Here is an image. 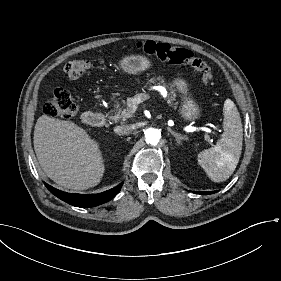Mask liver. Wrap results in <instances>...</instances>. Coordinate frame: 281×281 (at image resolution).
I'll use <instances>...</instances> for the list:
<instances>
[{"label":"liver","mask_w":281,"mask_h":281,"mask_svg":"<svg viewBox=\"0 0 281 281\" xmlns=\"http://www.w3.org/2000/svg\"><path fill=\"white\" fill-rule=\"evenodd\" d=\"M33 145L39 165L56 184L87 190L102 182L106 164L101 145L77 123L42 115Z\"/></svg>","instance_id":"obj_1"}]
</instances>
